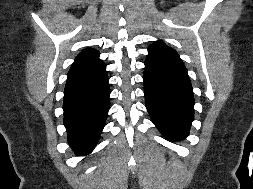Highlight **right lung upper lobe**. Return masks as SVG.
<instances>
[{
    "instance_id": "obj_1",
    "label": "right lung upper lobe",
    "mask_w": 253,
    "mask_h": 189,
    "mask_svg": "<svg viewBox=\"0 0 253 189\" xmlns=\"http://www.w3.org/2000/svg\"><path fill=\"white\" fill-rule=\"evenodd\" d=\"M99 55L95 49L83 50L70 68L67 80L87 81L104 75L106 66L99 59Z\"/></svg>"
}]
</instances>
